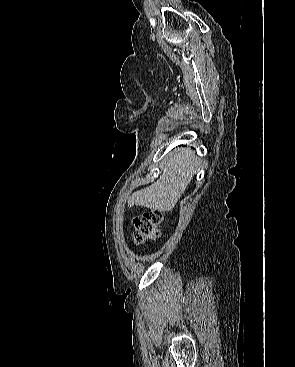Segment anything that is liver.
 I'll list each match as a JSON object with an SVG mask.
<instances>
[{
	"mask_svg": "<svg viewBox=\"0 0 295 367\" xmlns=\"http://www.w3.org/2000/svg\"><path fill=\"white\" fill-rule=\"evenodd\" d=\"M200 164V160L190 149L182 148L171 152L159 179L149 187L133 193L129 199L130 204L159 212L171 211L184 194Z\"/></svg>",
	"mask_w": 295,
	"mask_h": 367,
	"instance_id": "1",
	"label": "liver"
}]
</instances>
